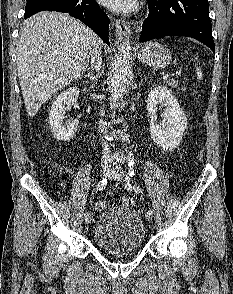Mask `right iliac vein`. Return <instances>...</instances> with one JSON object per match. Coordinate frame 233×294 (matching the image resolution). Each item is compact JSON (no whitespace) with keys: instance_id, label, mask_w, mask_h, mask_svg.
Instances as JSON below:
<instances>
[{"instance_id":"right-iliac-vein-1","label":"right iliac vein","mask_w":233,"mask_h":294,"mask_svg":"<svg viewBox=\"0 0 233 294\" xmlns=\"http://www.w3.org/2000/svg\"><path fill=\"white\" fill-rule=\"evenodd\" d=\"M111 172H112V168L108 165H104L101 168L100 175L102 178H104V177L110 176ZM91 220H92V216L90 214L88 217L85 218V223L89 224Z\"/></svg>"}]
</instances>
